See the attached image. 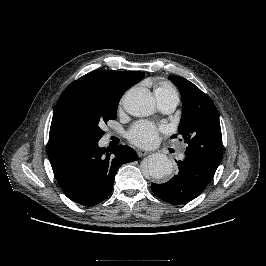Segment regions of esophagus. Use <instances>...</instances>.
I'll return each mask as SVG.
<instances>
[{
	"instance_id": "1",
	"label": "esophagus",
	"mask_w": 266,
	"mask_h": 266,
	"mask_svg": "<svg viewBox=\"0 0 266 266\" xmlns=\"http://www.w3.org/2000/svg\"><path fill=\"white\" fill-rule=\"evenodd\" d=\"M136 151H137V154H138L139 157H144V156L149 154L148 151L142 150V149H137Z\"/></svg>"
}]
</instances>
